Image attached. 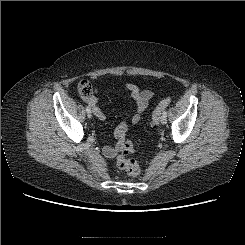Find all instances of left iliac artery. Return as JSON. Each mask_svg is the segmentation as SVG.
Masks as SVG:
<instances>
[{"label": "left iliac artery", "mask_w": 245, "mask_h": 245, "mask_svg": "<svg viewBox=\"0 0 245 245\" xmlns=\"http://www.w3.org/2000/svg\"><path fill=\"white\" fill-rule=\"evenodd\" d=\"M163 116L167 117V111L166 110L163 112Z\"/></svg>", "instance_id": "obj_1"}]
</instances>
